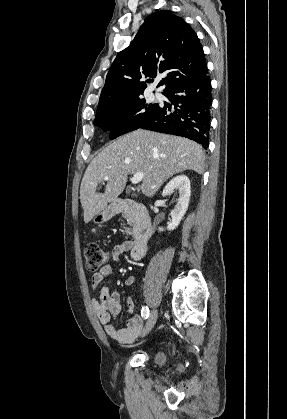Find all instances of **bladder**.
Returning <instances> with one entry per match:
<instances>
[{"label": "bladder", "instance_id": "obj_1", "mask_svg": "<svg viewBox=\"0 0 287 419\" xmlns=\"http://www.w3.org/2000/svg\"><path fill=\"white\" fill-rule=\"evenodd\" d=\"M154 359L158 363H162L165 361V355L162 352H157L154 356Z\"/></svg>", "mask_w": 287, "mask_h": 419}]
</instances>
